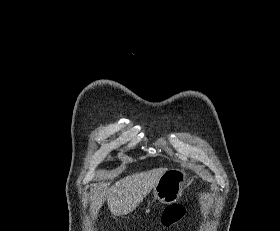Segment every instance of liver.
<instances>
[{
    "label": "liver",
    "instance_id": "liver-1",
    "mask_svg": "<svg viewBox=\"0 0 280 231\" xmlns=\"http://www.w3.org/2000/svg\"><path fill=\"white\" fill-rule=\"evenodd\" d=\"M168 167H157L150 171H140V173H132L123 179L116 181L114 185L109 187L107 203L111 213L114 215H126L133 209H136L140 201H143L147 193L155 187L161 175L167 171ZM94 209L101 207L103 197L95 193Z\"/></svg>",
    "mask_w": 280,
    "mask_h": 231
}]
</instances>
